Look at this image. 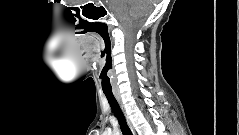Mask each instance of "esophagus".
Wrapping results in <instances>:
<instances>
[{
    "label": "esophagus",
    "mask_w": 239,
    "mask_h": 135,
    "mask_svg": "<svg viewBox=\"0 0 239 135\" xmlns=\"http://www.w3.org/2000/svg\"><path fill=\"white\" fill-rule=\"evenodd\" d=\"M115 98H116V100H117V102H118V104H119V106H120L122 112L125 114L126 119H127V122H128V124H129V126H130V128H131V125H130L129 119H128L126 113H125V109H124V106H123V104H122V100H121L120 95H119L118 93H115ZM131 129H132V128H131Z\"/></svg>",
    "instance_id": "34e87169"
}]
</instances>
